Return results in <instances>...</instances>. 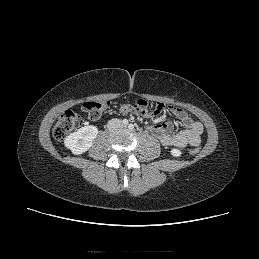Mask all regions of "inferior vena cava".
Masks as SVG:
<instances>
[{"instance_id": "1", "label": "inferior vena cava", "mask_w": 259, "mask_h": 259, "mask_svg": "<svg viewBox=\"0 0 259 259\" xmlns=\"http://www.w3.org/2000/svg\"><path fill=\"white\" fill-rule=\"evenodd\" d=\"M122 126H123V124L120 119H111L107 125L109 130H116L118 128H121Z\"/></svg>"}]
</instances>
